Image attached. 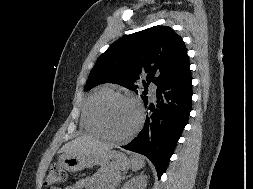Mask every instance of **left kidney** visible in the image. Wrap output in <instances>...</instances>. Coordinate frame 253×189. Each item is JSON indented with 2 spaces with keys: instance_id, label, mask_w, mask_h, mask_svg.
Segmentation results:
<instances>
[{
  "instance_id": "obj_1",
  "label": "left kidney",
  "mask_w": 253,
  "mask_h": 189,
  "mask_svg": "<svg viewBox=\"0 0 253 189\" xmlns=\"http://www.w3.org/2000/svg\"><path fill=\"white\" fill-rule=\"evenodd\" d=\"M146 186L147 176L141 174L140 176H136L135 178H132L126 182L121 189H145Z\"/></svg>"
}]
</instances>
